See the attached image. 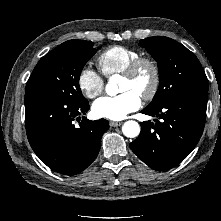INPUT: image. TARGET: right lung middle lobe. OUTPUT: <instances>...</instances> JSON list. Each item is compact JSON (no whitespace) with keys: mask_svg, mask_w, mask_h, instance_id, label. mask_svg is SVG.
Returning a JSON list of instances; mask_svg holds the SVG:
<instances>
[{"mask_svg":"<svg viewBox=\"0 0 221 221\" xmlns=\"http://www.w3.org/2000/svg\"><path fill=\"white\" fill-rule=\"evenodd\" d=\"M96 53L91 41L69 40L46 54L34 68L26 93L63 100L72 105L87 101L79 87L84 65Z\"/></svg>","mask_w":221,"mask_h":221,"instance_id":"right-lung-middle-lobe-1","label":"right lung middle lobe"}]
</instances>
